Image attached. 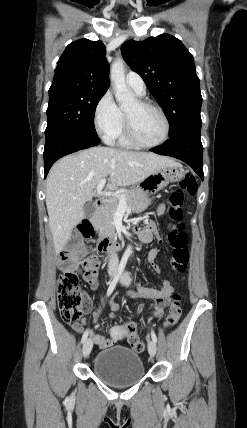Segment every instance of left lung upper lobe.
Returning <instances> with one entry per match:
<instances>
[{
	"label": "left lung upper lobe",
	"instance_id": "left-lung-upper-lobe-1",
	"mask_svg": "<svg viewBox=\"0 0 247 428\" xmlns=\"http://www.w3.org/2000/svg\"><path fill=\"white\" fill-rule=\"evenodd\" d=\"M121 53L164 110L171 139L201 130L199 78L193 56L179 39L162 34L140 42L129 40L122 45Z\"/></svg>",
	"mask_w": 247,
	"mask_h": 428
}]
</instances>
